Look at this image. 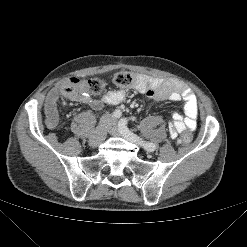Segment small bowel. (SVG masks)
<instances>
[{
  "mask_svg": "<svg viewBox=\"0 0 247 247\" xmlns=\"http://www.w3.org/2000/svg\"><path fill=\"white\" fill-rule=\"evenodd\" d=\"M68 85L64 84L63 86ZM135 88L154 101H184V114L176 111L172 114L169 124L170 136L174 139L185 129L195 130L197 126L198 102L196 95L181 82L174 79L148 78L140 76ZM125 98V91L116 89L106 93L102 99H92L87 94H82L76 101L88 104L95 110H101L104 105H116ZM58 89L51 90L45 102V121L49 128H54L59 123L57 101Z\"/></svg>",
  "mask_w": 247,
  "mask_h": 247,
  "instance_id": "c3829d8e",
  "label": "small bowel"
}]
</instances>
